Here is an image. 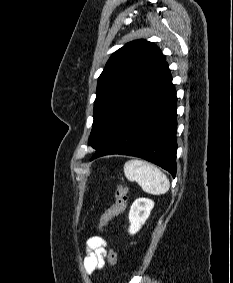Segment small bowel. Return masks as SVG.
Instances as JSON below:
<instances>
[{
	"mask_svg": "<svg viewBox=\"0 0 233 283\" xmlns=\"http://www.w3.org/2000/svg\"><path fill=\"white\" fill-rule=\"evenodd\" d=\"M106 242L100 236L90 237L86 242V256L83 266L87 274L101 270L105 265L107 256Z\"/></svg>",
	"mask_w": 233,
	"mask_h": 283,
	"instance_id": "c3829d8e",
	"label": "small bowel"
}]
</instances>
